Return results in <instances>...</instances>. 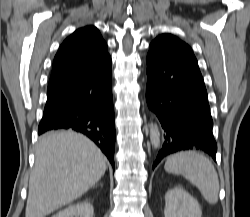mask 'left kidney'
I'll list each match as a JSON object with an SVG mask.
<instances>
[{"instance_id": "obj_1", "label": "left kidney", "mask_w": 250, "mask_h": 217, "mask_svg": "<svg viewBox=\"0 0 250 217\" xmlns=\"http://www.w3.org/2000/svg\"><path fill=\"white\" fill-rule=\"evenodd\" d=\"M165 217H201L199 203L181 187L169 189L165 194Z\"/></svg>"}]
</instances>
